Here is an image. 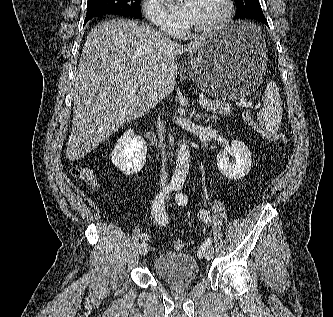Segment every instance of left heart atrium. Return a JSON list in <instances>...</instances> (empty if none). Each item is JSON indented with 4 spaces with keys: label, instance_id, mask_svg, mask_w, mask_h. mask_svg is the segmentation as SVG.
I'll return each mask as SVG.
<instances>
[{
    "label": "left heart atrium",
    "instance_id": "39dd6f15",
    "mask_svg": "<svg viewBox=\"0 0 333 317\" xmlns=\"http://www.w3.org/2000/svg\"><path fill=\"white\" fill-rule=\"evenodd\" d=\"M196 0H182L170 4L171 14L182 23H190L193 18Z\"/></svg>",
    "mask_w": 333,
    "mask_h": 317
}]
</instances>
